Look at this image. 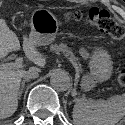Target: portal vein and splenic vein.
<instances>
[{"instance_id": "portal-vein-and-splenic-vein-1", "label": "portal vein and splenic vein", "mask_w": 125, "mask_h": 125, "mask_svg": "<svg viewBox=\"0 0 125 125\" xmlns=\"http://www.w3.org/2000/svg\"><path fill=\"white\" fill-rule=\"evenodd\" d=\"M72 64L76 67V65L73 62ZM22 67H23V58L21 57L16 58L15 62H10V63H5L0 65L1 69H20Z\"/></svg>"}]
</instances>
